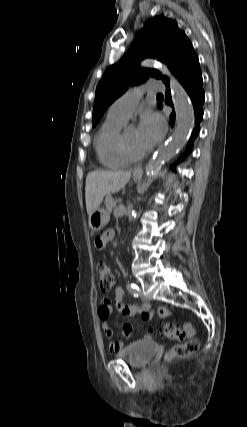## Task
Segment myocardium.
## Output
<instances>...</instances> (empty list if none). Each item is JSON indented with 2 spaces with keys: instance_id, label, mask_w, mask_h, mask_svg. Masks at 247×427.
<instances>
[{
  "instance_id": "obj_1",
  "label": "myocardium",
  "mask_w": 247,
  "mask_h": 427,
  "mask_svg": "<svg viewBox=\"0 0 247 427\" xmlns=\"http://www.w3.org/2000/svg\"><path fill=\"white\" fill-rule=\"evenodd\" d=\"M125 132H126V130H123L120 133V137H119V147H120V151H121L122 155L129 162L139 161V160H142L143 158H145L148 154V150H145V151H142L139 153L132 151L130 149L128 143H127Z\"/></svg>"
}]
</instances>
